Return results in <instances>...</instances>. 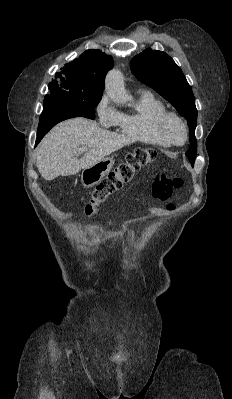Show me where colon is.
Instances as JSON below:
<instances>
[{
    "label": "colon",
    "mask_w": 232,
    "mask_h": 399,
    "mask_svg": "<svg viewBox=\"0 0 232 399\" xmlns=\"http://www.w3.org/2000/svg\"><path fill=\"white\" fill-rule=\"evenodd\" d=\"M154 163V158H148V154L144 150H139L131 154L126 163H115V168H118L114 174H107L108 180H96L99 186H94L92 197L89 199L90 203L86 204V213H95L97 204L108 196L113 191H118L121 185H130V180L133 179V174L136 172L139 165H148ZM157 185L151 189V194H169V191H174V186L171 185H185V180H179V175H171V180H165V175L155 176ZM155 203H164V198H155ZM169 208H174V203H169ZM87 220H92V215H87Z\"/></svg>",
    "instance_id": "1"
}]
</instances>
